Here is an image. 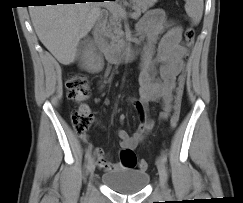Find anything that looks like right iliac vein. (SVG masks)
<instances>
[{
	"label": "right iliac vein",
	"mask_w": 243,
	"mask_h": 203,
	"mask_svg": "<svg viewBox=\"0 0 243 203\" xmlns=\"http://www.w3.org/2000/svg\"><path fill=\"white\" fill-rule=\"evenodd\" d=\"M87 169L90 175H92L95 171V159L94 157H90L87 164Z\"/></svg>",
	"instance_id": "right-iliac-vein-1"
}]
</instances>
